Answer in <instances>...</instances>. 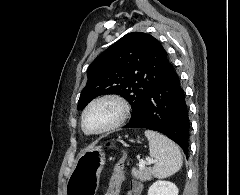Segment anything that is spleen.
<instances>
[{
  "label": "spleen",
  "instance_id": "3e777b00",
  "mask_svg": "<svg viewBox=\"0 0 240 195\" xmlns=\"http://www.w3.org/2000/svg\"><path fill=\"white\" fill-rule=\"evenodd\" d=\"M145 135L149 141L150 155L156 159L154 167H152L154 177L163 179V177H169L176 173L183 165L179 145L153 129H146Z\"/></svg>",
  "mask_w": 240,
  "mask_h": 195
}]
</instances>
